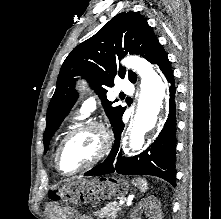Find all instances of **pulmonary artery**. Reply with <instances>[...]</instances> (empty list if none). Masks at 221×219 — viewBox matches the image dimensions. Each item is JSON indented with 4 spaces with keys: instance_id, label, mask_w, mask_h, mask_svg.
<instances>
[{
    "instance_id": "obj_1",
    "label": "pulmonary artery",
    "mask_w": 221,
    "mask_h": 219,
    "mask_svg": "<svg viewBox=\"0 0 221 219\" xmlns=\"http://www.w3.org/2000/svg\"><path fill=\"white\" fill-rule=\"evenodd\" d=\"M119 91L122 92V94H132L134 91L133 85L132 83L126 79V78H122L119 83ZM96 108V98L95 97H89L88 99H86L81 107H80V114L81 116H87L89 115L91 112H93Z\"/></svg>"
}]
</instances>
